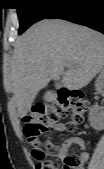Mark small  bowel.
<instances>
[{"label": "small bowel", "instance_id": "small-bowel-1", "mask_svg": "<svg viewBox=\"0 0 104 169\" xmlns=\"http://www.w3.org/2000/svg\"><path fill=\"white\" fill-rule=\"evenodd\" d=\"M56 131L63 132L66 130V125L64 123H58L53 126ZM73 146H78L82 153L79 156L80 164L77 169H85L84 166L89 160V153L85 150V142L80 136H71L69 137L61 146H57L59 150L58 156L64 160V158L68 155L70 149Z\"/></svg>", "mask_w": 104, "mask_h": 169}]
</instances>
